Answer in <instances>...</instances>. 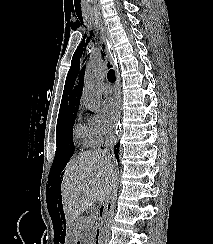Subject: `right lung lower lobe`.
I'll use <instances>...</instances> for the list:
<instances>
[{
  "mask_svg": "<svg viewBox=\"0 0 213 244\" xmlns=\"http://www.w3.org/2000/svg\"><path fill=\"white\" fill-rule=\"evenodd\" d=\"M115 147H116V148H119V143H118ZM114 151H115V155H116V157H118V149H115Z\"/></svg>",
  "mask_w": 213,
  "mask_h": 244,
  "instance_id": "right-lung-lower-lobe-1",
  "label": "right lung lower lobe"
}]
</instances>
